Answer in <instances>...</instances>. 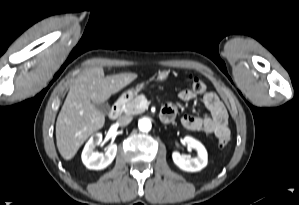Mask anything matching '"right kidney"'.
<instances>
[{
    "mask_svg": "<svg viewBox=\"0 0 299 205\" xmlns=\"http://www.w3.org/2000/svg\"><path fill=\"white\" fill-rule=\"evenodd\" d=\"M102 141V134L93 135L82 151V162L88 169L101 170L112 163L117 153V145H110L105 154L94 152V148Z\"/></svg>",
    "mask_w": 299,
    "mask_h": 205,
    "instance_id": "obj_1",
    "label": "right kidney"
}]
</instances>
